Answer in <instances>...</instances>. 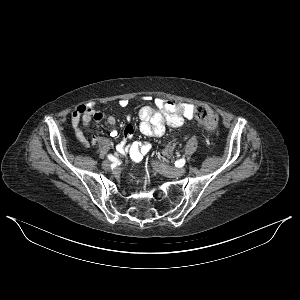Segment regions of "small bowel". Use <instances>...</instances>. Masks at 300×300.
Returning a JSON list of instances; mask_svg holds the SVG:
<instances>
[{"mask_svg": "<svg viewBox=\"0 0 300 300\" xmlns=\"http://www.w3.org/2000/svg\"><path fill=\"white\" fill-rule=\"evenodd\" d=\"M154 107L145 106L139 111V131L147 137H158L164 134L166 126L179 127L184 124L185 120L191 119L194 114V106L190 103H174L162 98L154 100ZM119 105L125 108L128 105V100L121 99ZM131 117L127 120L130 122ZM92 120L105 121L110 126H115L116 118L112 115H106L104 112L96 109L93 103L83 104L78 106L71 115V123L78 141L89 146L96 144L102 139L98 136L87 138L82 131L80 124L89 127ZM134 134V128L131 124L126 125L122 132V140L117 145V150L120 153H128L132 160L139 162L149 152L151 145L148 142L134 141L129 143V140ZM113 138L118 136L117 131H112Z\"/></svg>", "mask_w": 300, "mask_h": 300, "instance_id": "obj_1", "label": "small bowel"}]
</instances>
